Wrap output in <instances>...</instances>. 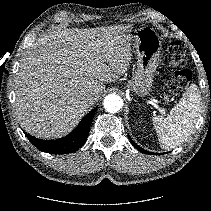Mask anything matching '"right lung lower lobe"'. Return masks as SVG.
Returning <instances> with one entry per match:
<instances>
[{"label": "right lung lower lobe", "mask_w": 211, "mask_h": 211, "mask_svg": "<svg viewBox=\"0 0 211 211\" xmlns=\"http://www.w3.org/2000/svg\"><path fill=\"white\" fill-rule=\"evenodd\" d=\"M96 110L97 108H94L92 111H90L82 119L76 129H74L69 135L63 138L47 141L38 139L26 133L25 135L37 149L43 152L50 154H67L75 152L85 143Z\"/></svg>", "instance_id": "obj_1"}]
</instances>
